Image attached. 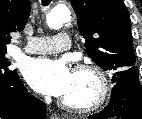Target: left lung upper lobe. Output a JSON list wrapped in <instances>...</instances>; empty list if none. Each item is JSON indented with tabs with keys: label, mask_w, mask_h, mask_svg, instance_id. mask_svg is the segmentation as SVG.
<instances>
[{
	"label": "left lung upper lobe",
	"mask_w": 142,
	"mask_h": 119,
	"mask_svg": "<svg viewBox=\"0 0 142 119\" xmlns=\"http://www.w3.org/2000/svg\"><path fill=\"white\" fill-rule=\"evenodd\" d=\"M86 53L112 83L138 79L129 12L123 0H71Z\"/></svg>",
	"instance_id": "1"
}]
</instances>
